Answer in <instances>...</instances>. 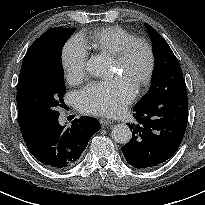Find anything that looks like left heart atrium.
Here are the masks:
<instances>
[{"instance_id":"39dd6f15","label":"left heart atrium","mask_w":205,"mask_h":205,"mask_svg":"<svg viewBox=\"0 0 205 205\" xmlns=\"http://www.w3.org/2000/svg\"><path fill=\"white\" fill-rule=\"evenodd\" d=\"M136 95L135 84L125 76H117L90 83L77 94L76 102L83 113L116 116Z\"/></svg>"}]
</instances>
